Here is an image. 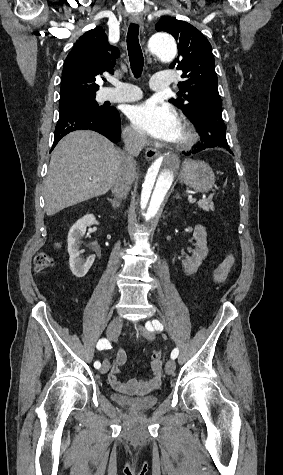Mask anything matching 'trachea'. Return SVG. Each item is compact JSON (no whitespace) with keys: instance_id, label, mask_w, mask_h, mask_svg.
I'll return each mask as SVG.
<instances>
[{"instance_id":"1","label":"trachea","mask_w":283,"mask_h":475,"mask_svg":"<svg viewBox=\"0 0 283 475\" xmlns=\"http://www.w3.org/2000/svg\"><path fill=\"white\" fill-rule=\"evenodd\" d=\"M127 49L132 73L139 78L143 71L144 57L139 43V25L131 23L127 33Z\"/></svg>"}]
</instances>
